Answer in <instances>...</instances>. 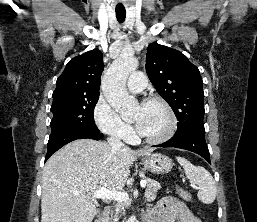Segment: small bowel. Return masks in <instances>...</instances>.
Wrapping results in <instances>:
<instances>
[{
	"label": "small bowel",
	"instance_id": "small-bowel-1",
	"mask_svg": "<svg viewBox=\"0 0 257 222\" xmlns=\"http://www.w3.org/2000/svg\"><path fill=\"white\" fill-rule=\"evenodd\" d=\"M148 222H201V220L182 201L167 197L151 210Z\"/></svg>",
	"mask_w": 257,
	"mask_h": 222
}]
</instances>
